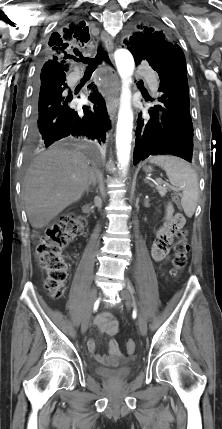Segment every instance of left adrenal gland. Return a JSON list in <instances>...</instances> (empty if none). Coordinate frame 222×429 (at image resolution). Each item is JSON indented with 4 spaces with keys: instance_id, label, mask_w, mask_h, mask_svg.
Returning <instances> with one entry per match:
<instances>
[{
    "instance_id": "a2214340",
    "label": "left adrenal gland",
    "mask_w": 222,
    "mask_h": 429,
    "mask_svg": "<svg viewBox=\"0 0 222 429\" xmlns=\"http://www.w3.org/2000/svg\"><path fill=\"white\" fill-rule=\"evenodd\" d=\"M144 182L149 183V181L147 179H144Z\"/></svg>"
}]
</instances>
